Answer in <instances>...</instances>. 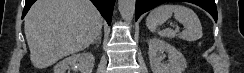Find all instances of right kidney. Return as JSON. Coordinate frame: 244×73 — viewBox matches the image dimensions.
Returning a JSON list of instances; mask_svg holds the SVG:
<instances>
[{
  "mask_svg": "<svg viewBox=\"0 0 244 73\" xmlns=\"http://www.w3.org/2000/svg\"><path fill=\"white\" fill-rule=\"evenodd\" d=\"M94 62L95 58L91 53L74 54L56 64L53 73H66L70 67L80 73H92Z\"/></svg>",
  "mask_w": 244,
  "mask_h": 73,
  "instance_id": "1",
  "label": "right kidney"
}]
</instances>
